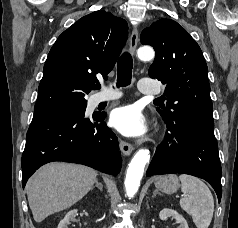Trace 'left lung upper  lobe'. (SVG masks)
Here are the masks:
<instances>
[{"label": "left lung upper lobe", "mask_w": 238, "mask_h": 228, "mask_svg": "<svg viewBox=\"0 0 238 228\" xmlns=\"http://www.w3.org/2000/svg\"><path fill=\"white\" fill-rule=\"evenodd\" d=\"M140 41L156 52L149 76L166 84L167 108L157 107L164 121L183 118L214 124L207 64L189 33L174 20L160 19L142 31Z\"/></svg>", "instance_id": "1"}]
</instances>
